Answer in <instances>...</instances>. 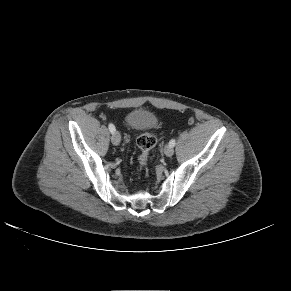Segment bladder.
<instances>
[{"label": "bladder", "mask_w": 291, "mask_h": 291, "mask_svg": "<svg viewBox=\"0 0 291 291\" xmlns=\"http://www.w3.org/2000/svg\"><path fill=\"white\" fill-rule=\"evenodd\" d=\"M156 116L144 109H135L126 116L128 126L134 130H146L156 124Z\"/></svg>", "instance_id": "1"}]
</instances>
